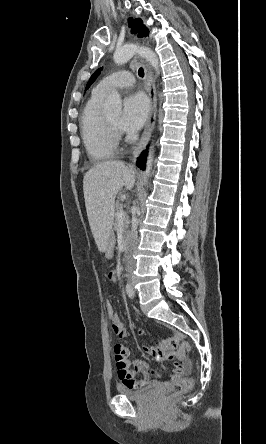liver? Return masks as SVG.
Masks as SVG:
<instances>
[{"instance_id":"obj_1","label":"liver","mask_w":266,"mask_h":444,"mask_svg":"<svg viewBox=\"0 0 266 444\" xmlns=\"http://www.w3.org/2000/svg\"><path fill=\"white\" fill-rule=\"evenodd\" d=\"M135 170L122 161H106L93 166L83 179V192L89 225L100 252L111 236L115 198L123 186L131 190Z\"/></svg>"}]
</instances>
